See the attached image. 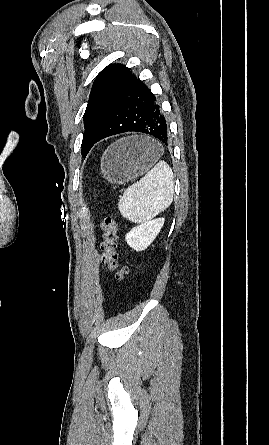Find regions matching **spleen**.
I'll list each match as a JSON object with an SVG mask.
<instances>
[{
	"instance_id": "3e777b00",
	"label": "spleen",
	"mask_w": 269,
	"mask_h": 445,
	"mask_svg": "<svg viewBox=\"0 0 269 445\" xmlns=\"http://www.w3.org/2000/svg\"><path fill=\"white\" fill-rule=\"evenodd\" d=\"M173 172L159 161L143 178L129 186L118 203L121 215L135 223H145L166 210L173 201Z\"/></svg>"
}]
</instances>
